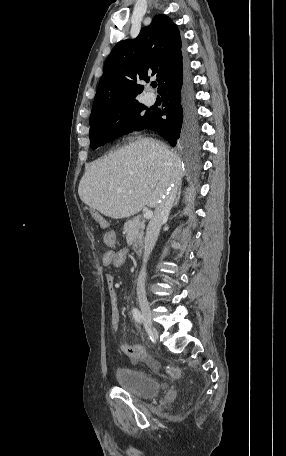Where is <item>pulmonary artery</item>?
Masks as SVG:
<instances>
[{
  "label": "pulmonary artery",
  "instance_id": "e3ab8cb5",
  "mask_svg": "<svg viewBox=\"0 0 286 456\" xmlns=\"http://www.w3.org/2000/svg\"><path fill=\"white\" fill-rule=\"evenodd\" d=\"M155 101H156V97H155L154 94L149 93V94L146 95V103H147L148 105L154 104Z\"/></svg>",
  "mask_w": 286,
  "mask_h": 456
}]
</instances>
